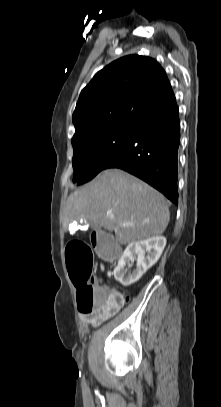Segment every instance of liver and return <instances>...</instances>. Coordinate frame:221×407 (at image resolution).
I'll return each instance as SVG.
<instances>
[{
	"label": "liver",
	"mask_w": 221,
	"mask_h": 407,
	"mask_svg": "<svg viewBox=\"0 0 221 407\" xmlns=\"http://www.w3.org/2000/svg\"><path fill=\"white\" fill-rule=\"evenodd\" d=\"M66 214L67 223L81 219L95 228L114 231L120 244L159 236L170 219L165 197L120 169L104 170L92 182L70 194Z\"/></svg>",
	"instance_id": "1"
}]
</instances>
